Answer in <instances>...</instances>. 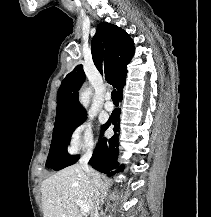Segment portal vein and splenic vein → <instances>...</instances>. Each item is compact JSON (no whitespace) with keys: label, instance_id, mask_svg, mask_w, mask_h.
<instances>
[{"label":"portal vein and splenic vein","instance_id":"portal-vein-and-splenic-vein-1","mask_svg":"<svg viewBox=\"0 0 211 217\" xmlns=\"http://www.w3.org/2000/svg\"><path fill=\"white\" fill-rule=\"evenodd\" d=\"M76 204L81 208L85 213H88L90 208L87 204H84L81 200H75Z\"/></svg>","mask_w":211,"mask_h":217}]
</instances>
